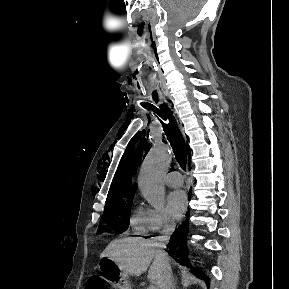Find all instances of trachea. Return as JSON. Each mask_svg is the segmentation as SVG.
<instances>
[{
  "label": "trachea",
  "instance_id": "1",
  "mask_svg": "<svg viewBox=\"0 0 289 289\" xmlns=\"http://www.w3.org/2000/svg\"><path fill=\"white\" fill-rule=\"evenodd\" d=\"M159 117L165 121L163 128L165 134L173 148L175 157L180 167L185 171L187 164V149L184 138L178 128L175 118L172 116V111L168 106H165L162 111L159 109H153Z\"/></svg>",
  "mask_w": 289,
  "mask_h": 289
}]
</instances>
